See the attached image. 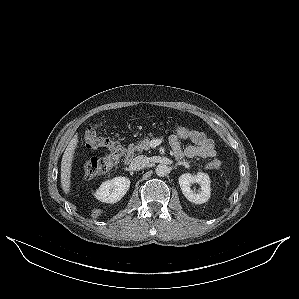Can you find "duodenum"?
Segmentation results:
<instances>
[{
  "label": "duodenum",
  "instance_id": "obj_1",
  "mask_svg": "<svg viewBox=\"0 0 299 299\" xmlns=\"http://www.w3.org/2000/svg\"><path fill=\"white\" fill-rule=\"evenodd\" d=\"M134 151L132 147H128L124 155V164L129 165L132 162Z\"/></svg>",
  "mask_w": 299,
  "mask_h": 299
}]
</instances>
